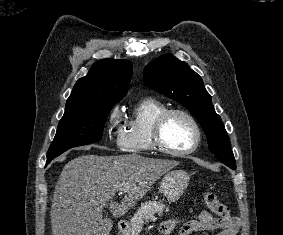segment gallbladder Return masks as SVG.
Listing matches in <instances>:
<instances>
[{"label": "gallbladder", "mask_w": 283, "mask_h": 235, "mask_svg": "<svg viewBox=\"0 0 283 235\" xmlns=\"http://www.w3.org/2000/svg\"><path fill=\"white\" fill-rule=\"evenodd\" d=\"M105 221H106V222H109L110 220H109L108 218H105Z\"/></svg>", "instance_id": "1"}]
</instances>
